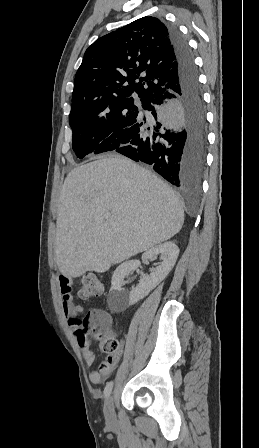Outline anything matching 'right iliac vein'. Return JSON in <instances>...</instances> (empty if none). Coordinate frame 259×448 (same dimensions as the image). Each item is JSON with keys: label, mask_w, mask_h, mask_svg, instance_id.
Listing matches in <instances>:
<instances>
[{"label": "right iliac vein", "mask_w": 259, "mask_h": 448, "mask_svg": "<svg viewBox=\"0 0 259 448\" xmlns=\"http://www.w3.org/2000/svg\"><path fill=\"white\" fill-rule=\"evenodd\" d=\"M104 416L108 424H114L116 421L114 404L112 395L105 400L104 403Z\"/></svg>", "instance_id": "1"}]
</instances>
